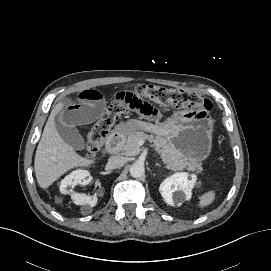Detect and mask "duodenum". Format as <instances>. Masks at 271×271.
I'll list each match as a JSON object with an SVG mask.
<instances>
[{
    "label": "duodenum",
    "instance_id": "duodenum-1",
    "mask_svg": "<svg viewBox=\"0 0 271 271\" xmlns=\"http://www.w3.org/2000/svg\"><path fill=\"white\" fill-rule=\"evenodd\" d=\"M123 138H124V132L122 130V127L115 129L113 132H111V134L108 136L106 140L107 150L111 154L116 155L121 149Z\"/></svg>",
    "mask_w": 271,
    "mask_h": 271
}]
</instances>
